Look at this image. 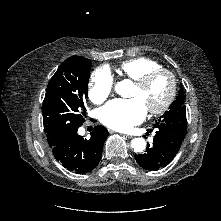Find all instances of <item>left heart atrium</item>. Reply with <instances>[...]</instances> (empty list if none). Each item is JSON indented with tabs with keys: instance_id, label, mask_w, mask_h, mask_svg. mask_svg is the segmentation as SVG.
<instances>
[{
	"instance_id": "1",
	"label": "left heart atrium",
	"mask_w": 221,
	"mask_h": 221,
	"mask_svg": "<svg viewBox=\"0 0 221 221\" xmlns=\"http://www.w3.org/2000/svg\"><path fill=\"white\" fill-rule=\"evenodd\" d=\"M147 108L140 98L113 100L99 111L100 121L117 131H128L142 122Z\"/></svg>"
}]
</instances>
